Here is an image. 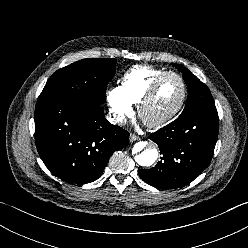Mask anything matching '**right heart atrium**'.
<instances>
[{
    "instance_id": "obj_1",
    "label": "right heart atrium",
    "mask_w": 248,
    "mask_h": 248,
    "mask_svg": "<svg viewBox=\"0 0 248 248\" xmlns=\"http://www.w3.org/2000/svg\"><path fill=\"white\" fill-rule=\"evenodd\" d=\"M107 100L117 122L122 123L133 114L132 103L126 98L120 86L109 90Z\"/></svg>"
}]
</instances>
